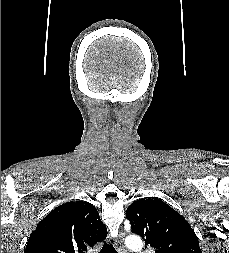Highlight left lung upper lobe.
I'll return each instance as SVG.
<instances>
[{"label": "left lung upper lobe", "instance_id": "left-lung-upper-lobe-1", "mask_svg": "<svg viewBox=\"0 0 229 253\" xmlns=\"http://www.w3.org/2000/svg\"><path fill=\"white\" fill-rule=\"evenodd\" d=\"M132 232L142 236L155 253H202L188 222L158 199H140L126 210Z\"/></svg>", "mask_w": 229, "mask_h": 253}]
</instances>
